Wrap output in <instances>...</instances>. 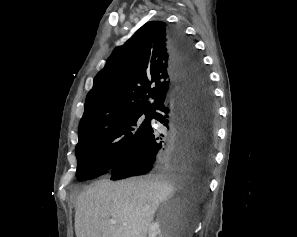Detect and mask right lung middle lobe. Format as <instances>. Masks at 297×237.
Segmentation results:
<instances>
[{
    "label": "right lung middle lobe",
    "instance_id": "obj_1",
    "mask_svg": "<svg viewBox=\"0 0 297 237\" xmlns=\"http://www.w3.org/2000/svg\"><path fill=\"white\" fill-rule=\"evenodd\" d=\"M153 114L144 111L105 119L78 134L75 151L78 180L111 172L117 161L144 140L152 128Z\"/></svg>",
    "mask_w": 297,
    "mask_h": 237
}]
</instances>
